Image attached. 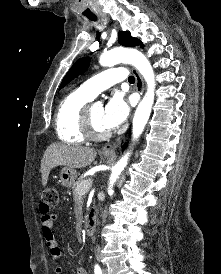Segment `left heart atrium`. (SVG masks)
Segmentation results:
<instances>
[{"label":"left heart atrium","instance_id":"39dd6f15","mask_svg":"<svg viewBox=\"0 0 221 274\" xmlns=\"http://www.w3.org/2000/svg\"><path fill=\"white\" fill-rule=\"evenodd\" d=\"M129 104L119 94L114 95L103 109L101 123L106 130L118 127L128 116Z\"/></svg>","mask_w":221,"mask_h":274}]
</instances>
